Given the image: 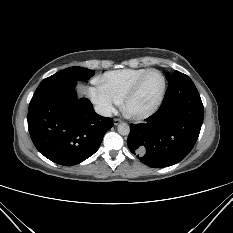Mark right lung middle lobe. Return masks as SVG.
<instances>
[{
	"mask_svg": "<svg viewBox=\"0 0 233 233\" xmlns=\"http://www.w3.org/2000/svg\"><path fill=\"white\" fill-rule=\"evenodd\" d=\"M94 75V70H89L82 67H69L66 68L51 77L64 78L74 81H85Z\"/></svg>",
	"mask_w": 233,
	"mask_h": 233,
	"instance_id": "right-lung-middle-lobe-1",
	"label": "right lung middle lobe"
}]
</instances>
